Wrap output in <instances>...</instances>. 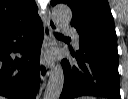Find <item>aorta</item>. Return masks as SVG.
Returning <instances> with one entry per match:
<instances>
[{"instance_id": "aorta-1", "label": "aorta", "mask_w": 128, "mask_h": 99, "mask_svg": "<svg viewBox=\"0 0 128 99\" xmlns=\"http://www.w3.org/2000/svg\"><path fill=\"white\" fill-rule=\"evenodd\" d=\"M52 15L58 26H66L72 19L71 9L65 4L54 6ZM64 84V72L62 66L57 64L49 77L43 99H59Z\"/></svg>"}]
</instances>
